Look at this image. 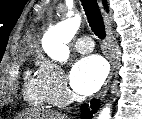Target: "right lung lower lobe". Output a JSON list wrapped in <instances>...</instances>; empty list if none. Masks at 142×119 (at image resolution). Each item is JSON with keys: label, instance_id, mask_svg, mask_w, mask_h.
Segmentation results:
<instances>
[{"label": "right lung lower lobe", "instance_id": "98d812e1", "mask_svg": "<svg viewBox=\"0 0 142 119\" xmlns=\"http://www.w3.org/2000/svg\"><path fill=\"white\" fill-rule=\"evenodd\" d=\"M87 107H88V105H86V104L82 106L83 111L81 113V117L83 119L92 118V114L95 113V110L98 108L97 101H95V100L91 101V108L93 109L92 111L86 110Z\"/></svg>", "mask_w": 142, "mask_h": 119}]
</instances>
